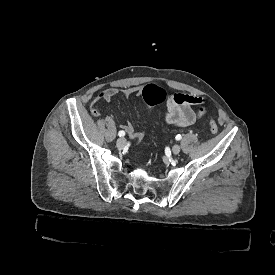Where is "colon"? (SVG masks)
<instances>
[{
    "instance_id": "5ec220e1",
    "label": "colon",
    "mask_w": 275,
    "mask_h": 275,
    "mask_svg": "<svg viewBox=\"0 0 275 275\" xmlns=\"http://www.w3.org/2000/svg\"><path fill=\"white\" fill-rule=\"evenodd\" d=\"M141 96L146 98V109H151L154 104H161L166 99V93L153 84H148L141 91ZM146 118H148V114H145V118H143V125H141V129L133 133V136H130L131 141H135V144H140L141 140L146 136V133L143 131ZM209 128L212 134H216L218 132V125L215 120L211 119L209 121Z\"/></svg>"
}]
</instances>
